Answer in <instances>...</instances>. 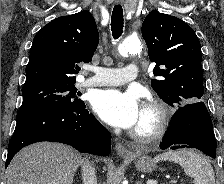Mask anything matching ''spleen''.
Segmentation results:
<instances>
[{"instance_id": "3e777b00", "label": "spleen", "mask_w": 224, "mask_h": 184, "mask_svg": "<svg viewBox=\"0 0 224 184\" xmlns=\"http://www.w3.org/2000/svg\"><path fill=\"white\" fill-rule=\"evenodd\" d=\"M166 160L181 165L184 172L194 179L195 184H215V174L211 164L195 151H169L154 158L155 162Z\"/></svg>"}]
</instances>
